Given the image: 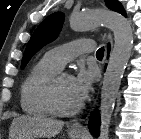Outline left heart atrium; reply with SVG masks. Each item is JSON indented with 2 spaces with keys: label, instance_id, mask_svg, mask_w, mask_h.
<instances>
[{
  "label": "left heart atrium",
  "instance_id": "1",
  "mask_svg": "<svg viewBox=\"0 0 141 139\" xmlns=\"http://www.w3.org/2000/svg\"><path fill=\"white\" fill-rule=\"evenodd\" d=\"M95 81V71L81 68L76 76L72 77V85L77 100L84 101L92 89Z\"/></svg>",
  "mask_w": 141,
  "mask_h": 139
}]
</instances>
